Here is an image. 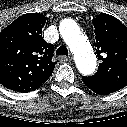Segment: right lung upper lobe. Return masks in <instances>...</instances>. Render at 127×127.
<instances>
[{"mask_svg": "<svg viewBox=\"0 0 127 127\" xmlns=\"http://www.w3.org/2000/svg\"><path fill=\"white\" fill-rule=\"evenodd\" d=\"M48 19L40 13L18 17L0 33V84L17 92H30L51 76L54 45L42 38Z\"/></svg>", "mask_w": 127, "mask_h": 127, "instance_id": "right-lung-upper-lobe-1", "label": "right lung upper lobe"}]
</instances>
